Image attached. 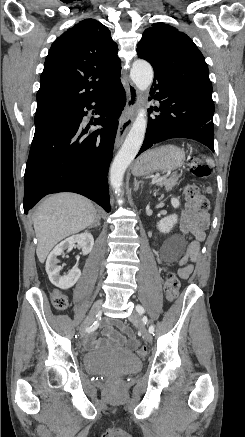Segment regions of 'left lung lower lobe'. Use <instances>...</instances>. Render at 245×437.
I'll list each match as a JSON object with an SVG mask.
<instances>
[{
  "label": "left lung lower lobe",
  "mask_w": 245,
  "mask_h": 437,
  "mask_svg": "<svg viewBox=\"0 0 245 437\" xmlns=\"http://www.w3.org/2000/svg\"><path fill=\"white\" fill-rule=\"evenodd\" d=\"M151 91L156 92L154 99L160 102V109L154 110L162 113L149 118L145 140L137 156L171 138L193 139L214 152L212 94L156 71Z\"/></svg>",
  "instance_id": "1"
}]
</instances>
